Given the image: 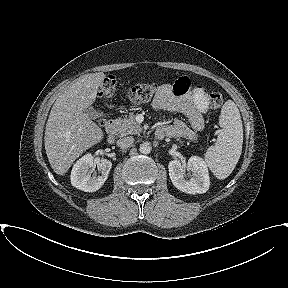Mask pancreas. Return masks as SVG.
Here are the masks:
<instances>
[{
    "label": "pancreas",
    "instance_id": "obj_1",
    "mask_svg": "<svg viewBox=\"0 0 288 288\" xmlns=\"http://www.w3.org/2000/svg\"><path fill=\"white\" fill-rule=\"evenodd\" d=\"M118 136L129 134H139L142 131L141 125L135 121V116L130 114L128 118H118L114 120Z\"/></svg>",
    "mask_w": 288,
    "mask_h": 288
}]
</instances>
